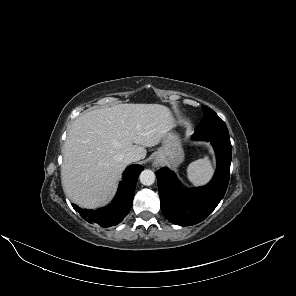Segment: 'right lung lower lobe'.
<instances>
[{"label":"right lung lower lobe","instance_id":"right-lung-lower-lobe-1","mask_svg":"<svg viewBox=\"0 0 296 296\" xmlns=\"http://www.w3.org/2000/svg\"><path fill=\"white\" fill-rule=\"evenodd\" d=\"M143 169L140 165H131L125 170L118 192L112 203L107 207L98 210H86L73 204V208L86 221L97 223L105 228L120 223L131 209L137 179Z\"/></svg>","mask_w":296,"mask_h":296}]
</instances>
